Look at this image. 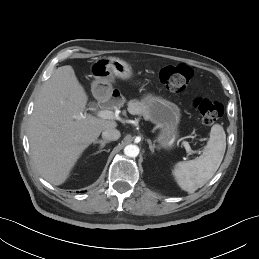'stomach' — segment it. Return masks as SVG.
<instances>
[{
    "label": "stomach",
    "mask_w": 259,
    "mask_h": 259,
    "mask_svg": "<svg viewBox=\"0 0 259 259\" xmlns=\"http://www.w3.org/2000/svg\"><path fill=\"white\" fill-rule=\"evenodd\" d=\"M91 73L95 79L92 83L93 91L102 94L111 92L115 77L129 80L133 74L131 66L126 61L115 57L96 60ZM141 104L145 110L144 117L160 129L157 142L163 148H171L179 138L180 108L173 102L151 93L142 98Z\"/></svg>",
    "instance_id": "stomach-1"
}]
</instances>
